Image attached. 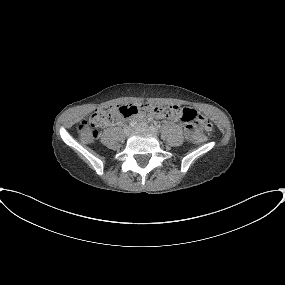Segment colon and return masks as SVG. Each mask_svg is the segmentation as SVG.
Here are the masks:
<instances>
[{
  "label": "colon",
  "instance_id": "obj_1",
  "mask_svg": "<svg viewBox=\"0 0 285 285\" xmlns=\"http://www.w3.org/2000/svg\"><path fill=\"white\" fill-rule=\"evenodd\" d=\"M181 112L180 120L186 125L188 137L192 141L201 139V129L210 130L212 124L196 111L176 106H157L151 104L126 105L115 110L111 106H102L94 111L88 118L83 119L78 125L80 139L83 142H91L99 135V129L108 126L117 116L131 118L138 115L152 113L173 116Z\"/></svg>",
  "mask_w": 285,
  "mask_h": 285
}]
</instances>
